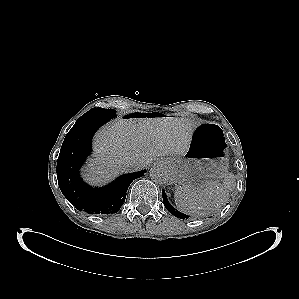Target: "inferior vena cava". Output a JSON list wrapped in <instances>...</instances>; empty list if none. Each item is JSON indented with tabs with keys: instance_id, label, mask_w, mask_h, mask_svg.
<instances>
[{
	"instance_id": "inferior-vena-cava-1",
	"label": "inferior vena cava",
	"mask_w": 299,
	"mask_h": 299,
	"mask_svg": "<svg viewBox=\"0 0 299 299\" xmlns=\"http://www.w3.org/2000/svg\"><path fill=\"white\" fill-rule=\"evenodd\" d=\"M142 166H143V163H140V162H136V161H134V162L130 163V167H131L132 169H134V170H138V169H140Z\"/></svg>"
}]
</instances>
